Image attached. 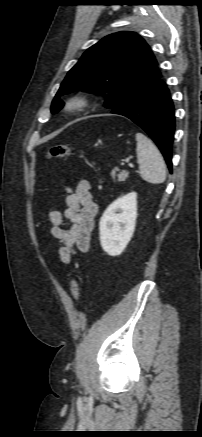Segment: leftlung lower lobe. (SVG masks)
Instances as JSON below:
<instances>
[{"label": "left lung lower lobe", "mask_w": 202, "mask_h": 437, "mask_svg": "<svg viewBox=\"0 0 202 437\" xmlns=\"http://www.w3.org/2000/svg\"><path fill=\"white\" fill-rule=\"evenodd\" d=\"M139 125L159 147L172 173L175 116L170 91L159 76L153 83L111 110Z\"/></svg>", "instance_id": "0a47b994"}]
</instances>
